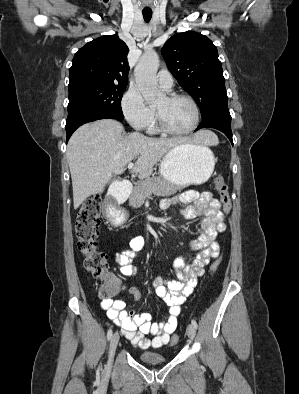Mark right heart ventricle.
Listing matches in <instances>:
<instances>
[{"label": "right heart ventricle", "mask_w": 299, "mask_h": 394, "mask_svg": "<svg viewBox=\"0 0 299 394\" xmlns=\"http://www.w3.org/2000/svg\"><path fill=\"white\" fill-rule=\"evenodd\" d=\"M148 130H149L150 133H155V132H157L159 130L155 120H153V122L149 126Z\"/></svg>", "instance_id": "obj_1"}]
</instances>
